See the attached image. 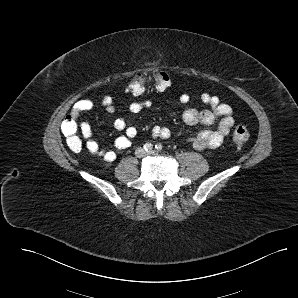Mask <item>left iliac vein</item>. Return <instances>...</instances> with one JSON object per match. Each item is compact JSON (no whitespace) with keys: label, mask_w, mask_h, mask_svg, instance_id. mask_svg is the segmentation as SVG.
<instances>
[{"label":"left iliac vein","mask_w":298,"mask_h":298,"mask_svg":"<svg viewBox=\"0 0 298 298\" xmlns=\"http://www.w3.org/2000/svg\"><path fill=\"white\" fill-rule=\"evenodd\" d=\"M148 155H155V152L154 151H149L147 152Z\"/></svg>","instance_id":"4c4485c4"}]
</instances>
